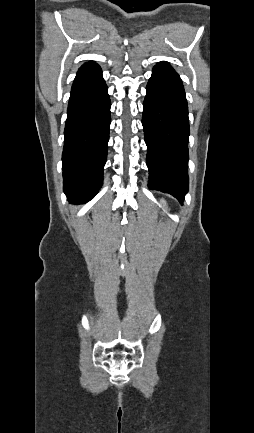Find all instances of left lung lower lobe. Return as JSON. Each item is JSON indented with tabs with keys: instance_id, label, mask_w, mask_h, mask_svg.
I'll list each match as a JSON object with an SVG mask.
<instances>
[{
	"instance_id": "0a47b994",
	"label": "left lung lower lobe",
	"mask_w": 254,
	"mask_h": 433,
	"mask_svg": "<svg viewBox=\"0 0 254 433\" xmlns=\"http://www.w3.org/2000/svg\"><path fill=\"white\" fill-rule=\"evenodd\" d=\"M142 124L149 188L183 202L188 191L189 119L184 87L167 62L158 63L146 87Z\"/></svg>"
}]
</instances>
